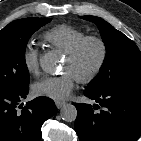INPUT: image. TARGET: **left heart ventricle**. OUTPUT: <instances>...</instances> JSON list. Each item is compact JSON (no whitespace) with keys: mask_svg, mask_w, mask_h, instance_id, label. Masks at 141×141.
<instances>
[{"mask_svg":"<svg viewBox=\"0 0 141 141\" xmlns=\"http://www.w3.org/2000/svg\"><path fill=\"white\" fill-rule=\"evenodd\" d=\"M99 56L97 45L90 44L86 47L78 62L72 63L67 57L64 61L63 71L72 73L75 77L80 73L89 71L96 63Z\"/></svg>","mask_w":141,"mask_h":141,"instance_id":"b2bd125f","label":"left heart ventricle"}]
</instances>
